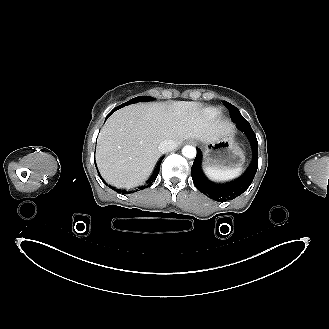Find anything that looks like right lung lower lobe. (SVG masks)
I'll use <instances>...</instances> for the list:
<instances>
[{
  "mask_svg": "<svg viewBox=\"0 0 329 329\" xmlns=\"http://www.w3.org/2000/svg\"><path fill=\"white\" fill-rule=\"evenodd\" d=\"M114 111H116V109H113V110L107 115L106 119H107V118H108V117H109ZM162 159H163V158H161V159L158 161V163H157V165H156V167H155V169H154V171H153L151 177H150V178L148 179V181H147V186H148V185H151L152 182L156 180L157 175H158L159 170H160V165H161ZM106 185H107V184H106ZM111 188H112V187H111ZM117 192L120 193L121 190H118ZM123 194H124V192H123Z\"/></svg>",
  "mask_w": 329,
  "mask_h": 329,
  "instance_id": "1",
  "label": "right lung lower lobe"
}]
</instances>
